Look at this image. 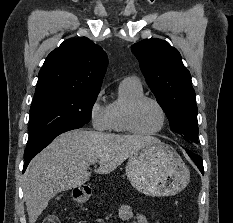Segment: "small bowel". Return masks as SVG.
Here are the masks:
<instances>
[{
	"label": "small bowel",
	"mask_w": 233,
	"mask_h": 223,
	"mask_svg": "<svg viewBox=\"0 0 233 223\" xmlns=\"http://www.w3.org/2000/svg\"><path fill=\"white\" fill-rule=\"evenodd\" d=\"M119 218L123 221L135 220V223H149L147 218L133 210V208L127 204H123L119 207Z\"/></svg>",
	"instance_id": "1"
}]
</instances>
